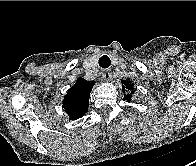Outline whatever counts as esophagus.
<instances>
[{
    "label": "esophagus",
    "mask_w": 196,
    "mask_h": 166,
    "mask_svg": "<svg viewBox=\"0 0 196 166\" xmlns=\"http://www.w3.org/2000/svg\"><path fill=\"white\" fill-rule=\"evenodd\" d=\"M102 77L104 80L108 81L111 78V71L109 69H104L102 72Z\"/></svg>",
    "instance_id": "1"
}]
</instances>
